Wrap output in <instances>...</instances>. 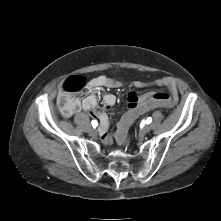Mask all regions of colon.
Returning <instances> with one entry per match:
<instances>
[{
	"label": "colon",
	"instance_id": "5ec220e1",
	"mask_svg": "<svg viewBox=\"0 0 221 221\" xmlns=\"http://www.w3.org/2000/svg\"><path fill=\"white\" fill-rule=\"evenodd\" d=\"M86 81L83 77L73 76L63 84V94L58 98V108L62 115L69 113V99L74 93L81 91L85 87ZM164 108L177 110L178 104L170 100L167 94L155 93L150 100H146L140 105H133L124 111L116 126L117 140L124 144L128 140V130L130 123L137 120L138 116L148 113L152 109Z\"/></svg>",
	"mask_w": 221,
	"mask_h": 221
}]
</instances>
